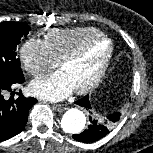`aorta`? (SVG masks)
<instances>
[{"label":"aorta","mask_w":153,"mask_h":153,"mask_svg":"<svg viewBox=\"0 0 153 153\" xmlns=\"http://www.w3.org/2000/svg\"><path fill=\"white\" fill-rule=\"evenodd\" d=\"M86 124L85 114L77 109L71 108L65 112L61 119V127L66 133L78 134Z\"/></svg>","instance_id":"aorta-1"}]
</instances>
